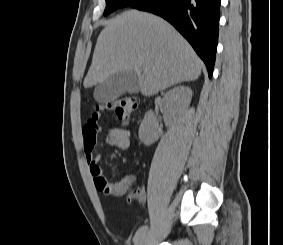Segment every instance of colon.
<instances>
[{
	"label": "colon",
	"mask_w": 283,
	"mask_h": 245,
	"mask_svg": "<svg viewBox=\"0 0 283 245\" xmlns=\"http://www.w3.org/2000/svg\"><path fill=\"white\" fill-rule=\"evenodd\" d=\"M138 106V99L135 97H121L112 102L98 104L92 114V119H98L102 112L106 110L113 111L117 118L126 123ZM128 199L133 202L140 201V194L137 190H132L128 194Z\"/></svg>",
	"instance_id": "1"
}]
</instances>
